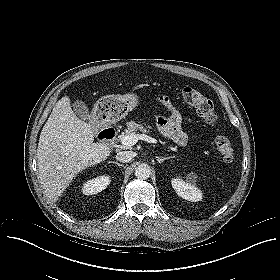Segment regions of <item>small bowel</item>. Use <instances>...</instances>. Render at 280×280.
<instances>
[{
    "mask_svg": "<svg viewBox=\"0 0 280 280\" xmlns=\"http://www.w3.org/2000/svg\"><path fill=\"white\" fill-rule=\"evenodd\" d=\"M157 101L169 111L168 116H155L159 130L165 137L173 140L179 146H185L188 142V135L182 130L181 126L184 121L192 123V119L184 117L179 111L173 108L167 98L159 97Z\"/></svg>",
    "mask_w": 280,
    "mask_h": 280,
    "instance_id": "obj_1",
    "label": "small bowel"
}]
</instances>
